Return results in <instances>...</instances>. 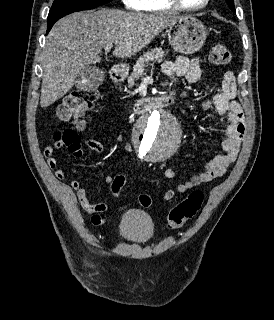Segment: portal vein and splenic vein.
Masks as SVG:
<instances>
[{
	"instance_id": "18ae733b",
	"label": "portal vein and splenic vein",
	"mask_w": 274,
	"mask_h": 320,
	"mask_svg": "<svg viewBox=\"0 0 274 320\" xmlns=\"http://www.w3.org/2000/svg\"><path fill=\"white\" fill-rule=\"evenodd\" d=\"M112 48V44H106V48H104L105 52H110Z\"/></svg>"
}]
</instances>
